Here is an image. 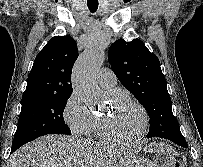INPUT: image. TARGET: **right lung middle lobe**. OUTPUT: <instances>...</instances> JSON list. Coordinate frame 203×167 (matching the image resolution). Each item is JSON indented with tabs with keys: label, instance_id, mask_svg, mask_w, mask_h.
<instances>
[{
	"label": "right lung middle lobe",
	"instance_id": "right-lung-middle-lobe-1",
	"mask_svg": "<svg viewBox=\"0 0 203 167\" xmlns=\"http://www.w3.org/2000/svg\"><path fill=\"white\" fill-rule=\"evenodd\" d=\"M70 95L34 98L22 101L12 152L23 144L46 134H67L71 131L63 118Z\"/></svg>",
	"mask_w": 203,
	"mask_h": 167
}]
</instances>
